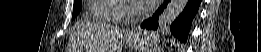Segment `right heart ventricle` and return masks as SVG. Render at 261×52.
<instances>
[{
	"label": "right heart ventricle",
	"mask_w": 261,
	"mask_h": 52,
	"mask_svg": "<svg viewBox=\"0 0 261 52\" xmlns=\"http://www.w3.org/2000/svg\"><path fill=\"white\" fill-rule=\"evenodd\" d=\"M120 11V4L114 0H94L89 8V19L93 22L121 24L115 14Z\"/></svg>",
	"instance_id": "1"
}]
</instances>
